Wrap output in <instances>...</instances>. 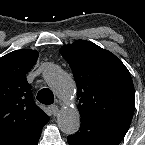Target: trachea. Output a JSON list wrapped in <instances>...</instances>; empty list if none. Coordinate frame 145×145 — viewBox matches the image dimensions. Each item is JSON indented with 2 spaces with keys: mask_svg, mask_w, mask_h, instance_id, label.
Here are the masks:
<instances>
[{
  "mask_svg": "<svg viewBox=\"0 0 145 145\" xmlns=\"http://www.w3.org/2000/svg\"><path fill=\"white\" fill-rule=\"evenodd\" d=\"M37 100L43 104L50 105L54 102V95L48 88L41 89L37 94Z\"/></svg>",
  "mask_w": 145,
  "mask_h": 145,
  "instance_id": "1",
  "label": "trachea"
}]
</instances>
